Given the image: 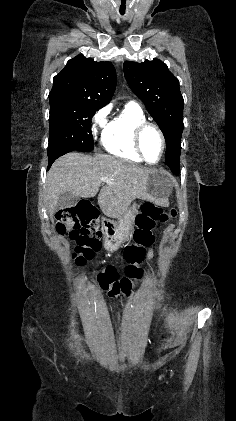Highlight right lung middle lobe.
<instances>
[{"label": "right lung middle lobe", "mask_w": 236, "mask_h": 421, "mask_svg": "<svg viewBox=\"0 0 236 421\" xmlns=\"http://www.w3.org/2000/svg\"><path fill=\"white\" fill-rule=\"evenodd\" d=\"M49 102L48 158L57 159L74 150L92 151L91 120L104 105L65 97H49Z\"/></svg>", "instance_id": "obj_1"}]
</instances>
